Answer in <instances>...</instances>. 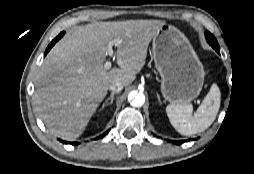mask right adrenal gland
Listing matches in <instances>:
<instances>
[{"label":"right adrenal gland","mask_w":254,"mask_h":174,"mask_svg":"<svg viewBox=\"0 0 254 174\" xmlns=\"http://www.w3.org/2000/svg\"><path fill=\"white\" fill-rule=\"evenodd\" d=\"M118 92H112L111 94H110V97H108L106 100H105V102H104V104L102 105V108H104L105 107V105L109 102V105H112L113 104V101H114V95L115 94H117Z\"/></svg>","instance_id":"1"}]
</instances>
